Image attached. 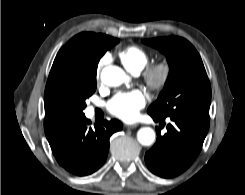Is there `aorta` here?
<instances>
[{
	"label": "aorta",
	"mask_w": 245,
	"mask_h": 195,
	"mask_svg": "<svg viewBox=\"0 0 245 195\" xmlns=\"http://www.w3.org/2000/svg\"><path fill=\"white\" fill-rule=\"evenodd\" d=\"M128 80L129 77L118 66H107L101 72V81L107 86L117 87ZM137 139L143 146H149L155 140V132L150 127H142L137 132Z\"/></svg>",
	"instance_id": "obj_1"
}]
</instances>
